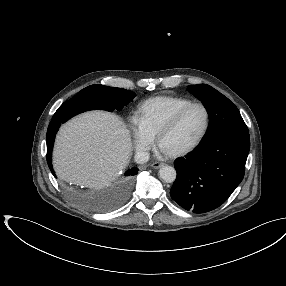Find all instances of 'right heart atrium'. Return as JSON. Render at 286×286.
Returning <instances> with one entry per match:
<instances>
[{
  "label": "right heart atrium",
  "instance_id": "d8ad5b80",
  "mask_svg": "<svg viewBox=\"0 0 286 286\" xmlns=\"http://www.w3.org/2000/svg\"><path fill=\"white\" fill-rule=\"evenodd\" d=\"M131 133L138 150L148 151L151 149L154 144V136L145 128L140 118H132Z\"/></svg>",
  "mask_w": 286,
  "mask_h": 286
}]
</instances>
